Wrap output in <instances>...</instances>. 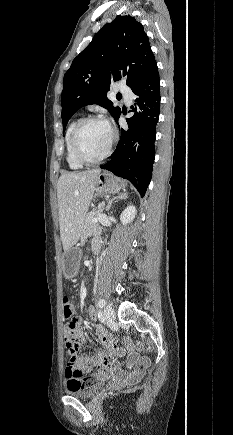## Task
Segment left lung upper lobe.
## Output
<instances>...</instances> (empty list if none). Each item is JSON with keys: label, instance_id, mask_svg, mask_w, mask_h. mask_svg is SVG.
Masks as SVG:
<instances>
[{"label": "left lung upper lobe", "instance_id": "5c2ea615", "mask_svg": "<svg viewBox=\"0 0 233 435\" xmlns=\"http://www.w3.org/2000/svg\"><path fill=\"white\" fill-rule=\"evenodd\" d=\"M155 63L143 25L134 17L119 15L104 25L64 75L63 131L71 116L89 104L105 107L115 119L121 109L107 98L111 82L125 79L132 89Z\"/></svg>", "mask_w": 233, "mask_h": 435}]
</instances>
